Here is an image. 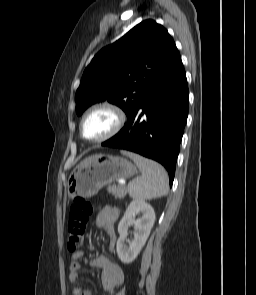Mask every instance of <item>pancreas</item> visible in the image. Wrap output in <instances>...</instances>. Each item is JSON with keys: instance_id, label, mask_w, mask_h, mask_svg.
I'll use <instances>...</instances> for the list:
<instances>
[{"instance_id": "1", "label": "pancreas", "mask_w": 256, "mask_h": 295, "mask_svg": "<svg viewBox=\"0 0 256 295\" xmlns=\"http://www.w3.org/2000/svg\"><path fill=\"white\" fill-rule=\"evenodd\" d=\"M108 192L110 194H113L115 198L120 199L125 197V195L127 194V189L124 185H112L108 187Z\"/></svg>"}]
</instances>
